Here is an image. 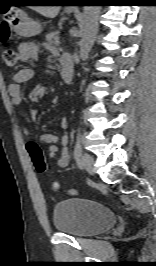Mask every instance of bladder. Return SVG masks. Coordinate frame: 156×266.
<instances>
[{
  "label": "bladder",
  "mask_w": 156,
  "mask_h": 266,
  "mask_svg": "<svg viewBox=\"0 0 156 266\" xmlns=\"http://www.w3.org/2000/svg\"><path fill=\"white\" fill-rule=\"evenodd\" d=\"M116 221L105 205L87 199H68L57 203L53 210L55 229L73 237H89L102 233Z\"/></svg>",
  "instance_id": "1"
}]
</instances>
